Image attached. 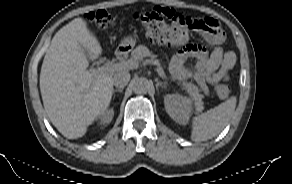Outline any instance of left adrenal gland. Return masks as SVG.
Segmentation results:
<instances>
[{
  "instance_id": "a2214340",
  "label": "left adrenal gland",
  "mask_w": 292,
  "mask_h": 184,
  "mask_svg": "<svg viewBox=\"0 0 292 184\" xmlns=\"http://www.w3.org/2000/svg\"><path fill=\"white\" fill-rule=\"evenodd\" d=\"M155 81H156V88L157 89L159 86L166 88L167 82H161V81H158V79H156Z\"/></svg>"
}]
</instances>
